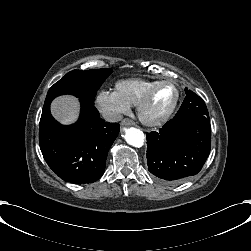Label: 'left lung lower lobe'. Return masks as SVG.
Here are the masks:
<instances>
[{"mask_svg": "<svg viewBox=\"0 0 251 251\" xmlns=\"http://www.w3.org/2000/svg\"><path fill=\"white\" fill-rule=\"evenodd\" d=\"M209 120L198 114L174 117L159 132L146 133L149 172L166 184L196 175L210 153Z\"/></svg>", "mask_w": 251, "mask_h": 251, "instance_id": "1", "label": "left lung lower lobe"}]
</instances>
